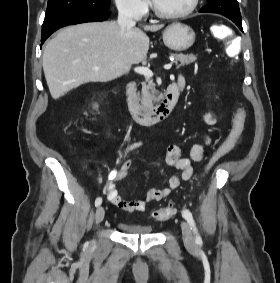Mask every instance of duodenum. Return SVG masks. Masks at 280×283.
<instances>
[{"label":"duodenum","mask_w":280,"mask_h":283,"mask_svg":"<svg viewBox=\"0 0 280 283\" xmlns=\"http://www.w3.org/2000/svg\"><path fill=\"white\" fill-rule=\"evenodd\" d=\"M179 84L172 83L166 89L162 100L154 107L143 106L138 98L135 82L129 83L126 91L127 106L130 114L141 125H153L167 118L179 98Z\"/></svg>","instance_id":"obj_1"}]
</instances>
